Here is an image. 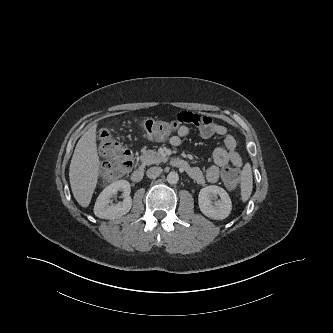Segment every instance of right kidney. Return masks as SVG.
Wrapping results in <instances>:
<instances>
[{"mask_svg": "<svg viewBox=\"0 0 333 333\" xmlns=\"http://www.w3.org/2000/svg\"><path fill=\"white\" fill-rule=\"evenodd\" d=\"M118 191L123 192V201L110 205L111 198ZM130 191V184L126 180L111 183L98 196L94 206V214L102 219H115L127 214L132 207Z\"/></svg>", "mask_w": 333, "mask_h": 333, "instance_id": "1", "label": "right kidney"}]
</instances>
